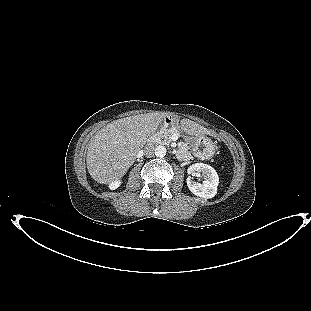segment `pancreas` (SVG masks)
<instances>
[{
    "label": "pancreas",
    "mask_w": 311,
    "mask_h": 311,
    "mask_svg": "<svg viewBox=\"0 0 311 311\" xmlns=\"http://www.w3.org/2000/svg\"><path fill=\"white\" fill-rule=\"evenodd\" d=\"M173 134H177L180 136V132L178 129L176 128H161L156 134V138L160 139V141L164 144H168L171 142V135ZM179 148L182 149L183 151L187 152V150L189 149V147L187 146L186 143L184 142H180L179 143Z\"/></svg>",
    "instance_id": "obj_1"
}]
</instances>
